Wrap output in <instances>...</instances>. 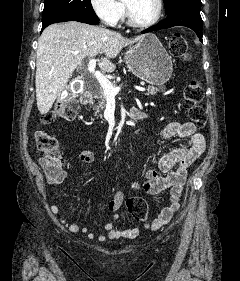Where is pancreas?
<instances>
[{
	"instance_id": "cf45deb5",
	"label": "pancreas",
	"mask_w": 240,
	"mask_h": 281,
	"mask_svg": "<svg viewBox=\"0 0 240 281\" xmlns=\"http://www.w3.org/2000/svg\"><path fill=\"white\" fill-rule=\"evenodd\" d=\"M111 84L113 86L116 85V83L114 81ZM160 90L164 91L165 88L164 87L156 88V87L148 86L147 95H155ZM95 99H97L98 102H97V104L94 105V109L96 110V113H99L100 109H104V107L106 105V99H107V97L105 96L101 86L98 88V90H97V92L95 94Z\"/></svg>"
}]
</instances>
